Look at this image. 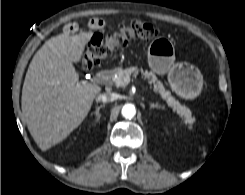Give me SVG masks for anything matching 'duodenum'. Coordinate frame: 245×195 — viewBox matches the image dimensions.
I'll use <instances>...</instances> for the list:
<instances>
[{
	"instance_id": "1",
	"label": "duodenum",
	"mask_w": 245,
	"mask_h": 195,
	"mask_svg": "<svg viewBox=\"0 0 245 195\" xmlns=\"http://www.w3.org/2000/svg\"><path fill=\"white\" fill-rule=\"evenodd\" d=\"M113 72L111 70H103L100 75L99 79L100 80H107L112 76Z\"/></svg>"
}]
</instances>
